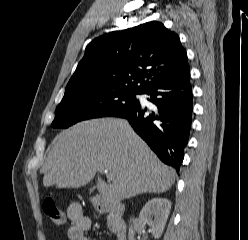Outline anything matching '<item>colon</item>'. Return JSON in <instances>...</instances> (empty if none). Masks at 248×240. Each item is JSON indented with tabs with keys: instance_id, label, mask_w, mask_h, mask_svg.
Listing matches in <instances>:
<instances>
[{
	"instance_id": "1",
	"label": "colon",
	"mask_w": 248,
	"mask_h": 240,
	"mask_svg": "<svg viewBox=\"0 0 248 240\" xmlns=\"http://www.w3.org/2000/svg\"><path fill=\"white\" fill-rule=\"evenodd\" d=\"M43 211L55 225L62 226L65 224L66 216L53 200L47 199L44 201Z\"/></svg>"
}]
</instances>
